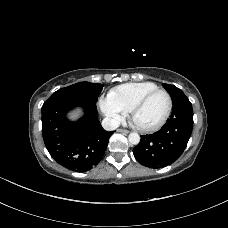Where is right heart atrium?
<instances>
[{
	"label": "right heart atrium",
	"mask_w": 228,
	"mask_h": 228,
	"mask_svg": "<svg viewBox=\"0 0 228 228\" xmlns=\"http://www.w3.org/2000/svg\"><path fill=\"white\" fill-rule=\"evenodd\" d=\"M99 107L104 116L113 124L118 123L126 113L108 95L99 99Z\"/></svg>",
	"instance_id": "d8ad5b80"
}]
</instances>
